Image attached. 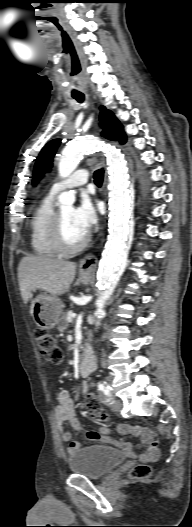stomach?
<instances>
[{
    "instance_id": "obj_1",
    "label": "stomach",
    "mask_w": 192,
    "mask_h": 527,
    "mask_svg": "<svg viewBox=\"0 0 192 527\" xmlns=\"http://www.w3.org/2000/svg\"><path fill=\"white\" fill-rule=\"evenodd\" d=\"M92 278L89 272H80V281L88 284ZM62 313L61 301L57 296L48 293L39 294L31 306V314L36 325L43 330L55 327Z\"/></svg>"
}]
</instances>
